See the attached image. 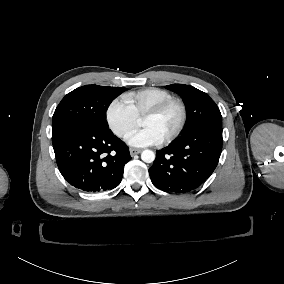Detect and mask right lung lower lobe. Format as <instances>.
<instances>
[{
	"instance_id": "1",
	"label": "right lung lower lobe",
	"mask_w": 284,
	"mask_h": 284,
	"mask_svg": "<svg viewBox=\"0 0 284 284\" xmlns=\"http://www.w3.org/2000/svg\"><path fill=\"white\" fill-rule=\"evenodd\" d=\"M58 168L75 188L89 193L117 187L131 160L126 144L110 129L72 126L52 137Z\"/></svg>"
}]
</instances>
